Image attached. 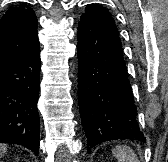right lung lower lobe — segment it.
Wrapping results in <instances>:
<instances>
[{"label": "right lung lower lobe", "instance_id": "obj_1", "mask_svg": "<svg viewBox=\"0 0 168 162\" xmlns=\"http://www.w3.org/2000/svg\"><path fill=\"white\" fill-rule=\"evenodd\" d=\"M40 48L0 67V142L39 152Z\"/></svg>", "mask_w": 168, "mask_h": 162}]
</instances>
